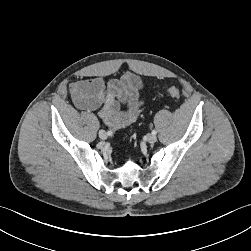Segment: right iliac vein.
<instances>
[{"instance_id":"1","label":"right iliac vein","mask_w":251,"mask_h":251,"mask_svg":"<svg viewBox=\"0 0 251 251\" xmlns=\"http://www.w3.org/2000/svg\"><path fill=\"white\" fill-rule=\"evenodd\" d=\"M99 137H100L102 140H105V139H107L108 134H107V132H106L105 130H100V131H99Z\"/></svg>"}]
</instances>
